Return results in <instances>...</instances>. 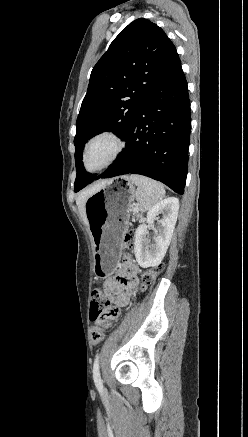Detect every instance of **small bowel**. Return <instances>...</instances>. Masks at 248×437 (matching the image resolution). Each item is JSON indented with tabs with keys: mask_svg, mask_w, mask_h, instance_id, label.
Wrapping results in <instances>:
<instances>
[{
	"mask_svg": "<svg viewBox=\"0 0 248 437\" xmlns=\"http://www.w3.org/2000/svg\"><path fill=\"white\" fill-rule=\"evenodd\" d=\"M138 272L139 267L130 258H127L120 266L118 276L104 282L105 292L116 306L108 318L115 317L119 308L129 304L131 295L139 283Z\"/></svg>",
	"mask_w": 248,
	"mask_h": 437,
	"instance_id": "c3829d8e",
	"label": "small bowel"
}]
</instances>
